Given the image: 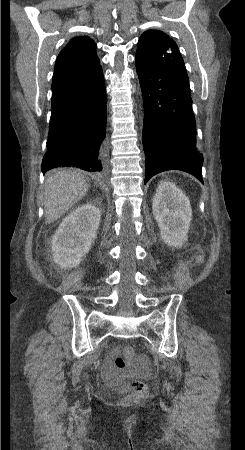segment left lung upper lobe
Returning a JSON list of instances; mask_svg holds the SVG:
<instances>
[{
    "mask_svg": "<svg viewBox=\"0 0 245 450\" xmlns=\"http://www.w3.org/2000/svg\"><path fill=\"white\" fill-rule=\"evenodd\" d=\"M136 64L168 72L190 92L186 67L179 49L162 31L148 30L141 35L136 51Z\"/></svg>",
    "mask_w": 245,
    "mask_h": 450,
    "instance_id": "left-lung-upper-lobe-1",
    "label": "left lung upper lobe"
}]
</instances>
